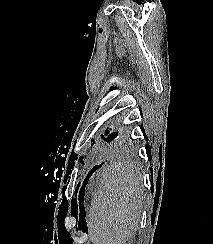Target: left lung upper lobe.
Returning <instances> with one entry per match:
<instances>
[{
	"label": "left lung upper lobe",
	"instance_id": "left-lung-upper-lobe-1",
	"mask_svg": "<svg viewBox=\"0 0 213 244\" xmlns=\"http://www.w3.org/2000/svg\"><path fill=\"white\" fill-rule=\"evenodd\" d=\"M117 136H118V132L115 131L111 132V130H109L108 128L105 130V134H101L102 139L106 142H111ZM92 142H94L93 139Z\"/></svg>",
	"mask_w": 213,
	"mask_h": 244
}]
</instances>
